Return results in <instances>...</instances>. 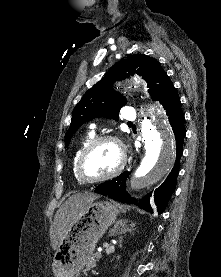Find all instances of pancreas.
Instances as JSON below:
<instances>
[{
  "label": "pancreas",
  "instance_id": "1",
  "mask_svg": "<svg viewBox=\"0 0 221 277\" xmlns=\"http://www.w3.org/2000/svg\"><path fill=\"white\" fill-rule=\"evenodd\" d=\"M97 255L94 254L92 255V257L89 259V261L87 262L86 266H85V270L88 271V270H91L93 269L94 267H96V257Z\"/></svg>",
  "mask_w": 221,
  "mask_h": 277
}]
</instances>
